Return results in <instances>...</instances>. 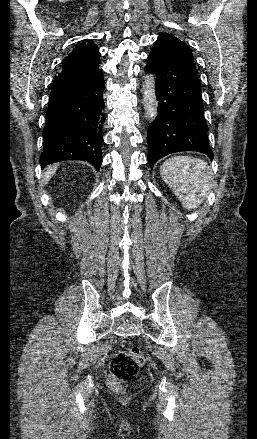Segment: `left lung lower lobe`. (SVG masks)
<instances>
[{
  "label": "left lung lower lobe",
  "mask_w": 257,
  "mask_h": 439,
  "mask_svg": "<svg viewBox=\"0 0 257 439\" xmlns=\"http://www.w3.org/2000/svg\"><path fill=\"white\" fill-rule=\"evenodd\" d=\"M145 71L155 74L159 101L156 121L149 125L147 133L150 166L168 154L182 151L201 152L212 159L198 71L193 61L176 44L157 39Z\"/></svg>",
  "instance_id": "0a47b994"
}]
</instances>
